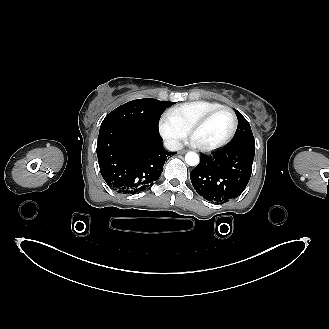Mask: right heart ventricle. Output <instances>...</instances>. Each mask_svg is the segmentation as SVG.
<instances>
[{
	"instance_id": "obj_1",
	"label": "right heart ventricle",
	"mask_w": 329,
	"mask_h": 329,
	"mask_svg": "<svg viewBox=\"0 0 329 329\" xmlns=\"http://www.w3.org/2000/svg\"><path fill=\"white\" fill-rule=\"evenodd\" d=\"M222 106L223 105L218 102L205 100L192 101L171 108L167 114L178 124H180L186 131H189V128L193 123L210 111Z\"/></svg>"
}]
</instances>
